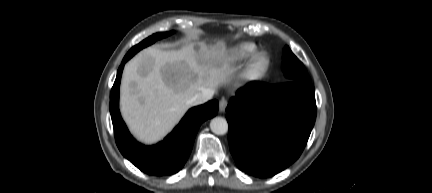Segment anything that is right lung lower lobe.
I'll return each instance as SVG.
<instances>
[{
    "instance_id": "right-lung-lower-lobe-1",
    "label": "right lung lower lobe",
    "mask_w": 432,
    "mask_h": 193,
    "mask_svg": "<svg viewBox=\"0 0 432 193\" xmlns=\"http://www.w3.org/2000/svg\"><path fill=\"white\" fill-rule=\"evenodd\" d=\"M129 59L124 57L110 94L109 108L116 144L123 156L141 171L156 176L174 174L187 161L201 123L217 114L218 101L211 100L190 109L162 142L153 146L142 145L130 135L119 112L120 80L124 64Z\"/></svg>"
}]
</instances>
